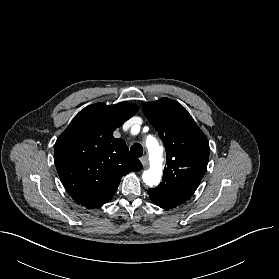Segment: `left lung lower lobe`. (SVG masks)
I'll use <instances>...</instances> for the list:
<instances>
[{
	"instance_id": "left-lung-lower-lobe-1",
	"label": "left lung lower lobe",
	"mask_w": 279,
	"mask_h": 279,
	"mask_svg": "<svg viewBox=\"0 0 279 279\" xmlns=\"http://www.w3.org/2000/svg\"><path fill=\"white\" fill-rule=\"evenodd\" d=\"M152 202L156 205H158L161 208L164 209H172L178 205H180L179 203H175V202H167V201H163V200H158V199H152Z\"/></svg>"
}]
</instances>
